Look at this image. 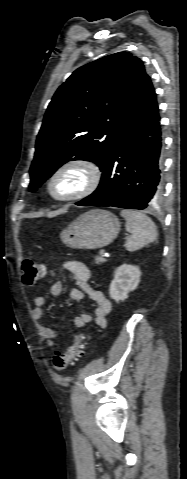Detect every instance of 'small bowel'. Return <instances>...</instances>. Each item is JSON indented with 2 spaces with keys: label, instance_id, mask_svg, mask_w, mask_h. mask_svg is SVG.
<instances>
[{
  "label": "small bowel",
  "instance_id": "obj_1",
  "mask_svg": "<svg viewBox=\"0 0 187 479\" xmlns=\"http://www.w3.org/2000/svg\"><path fill=\"white\" fill-rule=\"evenodd\" d=\"M63 269L67 270L72 276L76 288H73L69 292V299L73 302L81 301L88 296L95 305L94 317L89 313H82L73 318V323L78 328H85L90 322L94 321L98 327H105L107 324V317L111 312L112 305L110 300L105 296L102 291L93 289L90 285V271L82 263L78 261H68L63 264ZM63 291V282L61 279H57L53 282L50 288V295L52 297L59 296ZM46 297L38 295L34 299L33 317L37 321H41L44 316L43 307L46 304ZM42 336L45 339L47 345L53 347L55 345V339L57 333L45 326H41Z\"/></svg>",
  "mask_w": 187,
  "mask_h": 479
}]
</instances>
